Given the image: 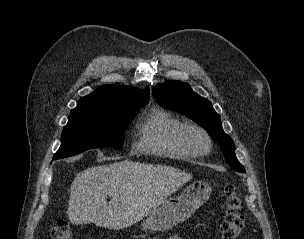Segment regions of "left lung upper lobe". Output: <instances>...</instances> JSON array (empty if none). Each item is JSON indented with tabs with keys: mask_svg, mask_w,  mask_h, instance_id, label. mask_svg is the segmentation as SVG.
Segmentation results:
<instances>
[{
	"mask_svg": "<svg viewBox=\"0 0 304 239\" xmlns=\"http://www.w3.org/2000/svg\"><path fill=\"white\" fill-rule=\"evenodd\" d=\"M153 96L162 107L184 114L205 128L221 146L230 168L246 172L236 158L233 140L224 132L220 117L210 101L193 92L189 84L179 81L156 85Z\"/></svg>",
	"mask_w": 304,
	"mask_h": 239,
	"instance_id": "5c2ea615",
	"label": "left lung upper lobe"
}]
</instances>
